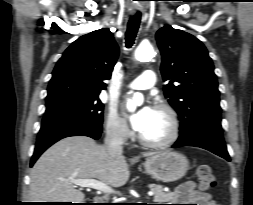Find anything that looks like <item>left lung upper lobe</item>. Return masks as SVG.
<instances>
[{"label": "left lung upper lobe", "instance_id": "left-lung-upper-lobe-1", "mask_svg": "<svg viewBox=\"0 0 253 205\" xmlns=\"http://www.w3.org/2000/svg\"><path fill=\"white\" fill-rule=\"evenodd\" d=\"M162 54L164 94L181 121V140L205 126L221 128L219 90L214 66L205 46L193 35L171 26L156 33Z\"/></svg>", "mask_w": 253, "mask_h": 205}]
</instances>
